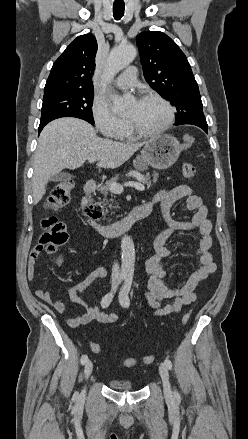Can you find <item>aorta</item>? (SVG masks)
<instances>
[{"instance_id": "1", "label": "aorta", "mask_w": 248, "mask_h": 439, "mask_svg": "<svg viewBox=\"0 0 248 439\" xmlns=\"http://www.w3.org/2000/svg\"><path fill=\"white\" fill-rule=\"evenodd\" d=\"M137 51L133 45H121L112 49L106 62L103 74V82L109 83L114 76L128 66L136 57ZM112 98V110L115 113L125 111L129 106L128 96L110 94ZM122 265L121 273L125 276H132L135 266V247L132 238L124 235L121 240Z\"/></svg>"}]
</instances>
